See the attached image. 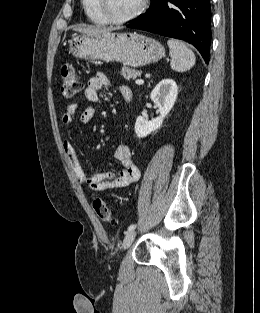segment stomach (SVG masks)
Listing matches in <instances>:
<instances>
[{"mask_svg":"<svg viewBox=\"0 0 260 313\" xmlns=\"http://www.w3.org/2000/svg\"><path fill=\"white\" fill-rule=\"evenodd\" d=\"M69 53L76 58L120 62L137 68L159 61L165 55V49L157 40L136 32L110 31L74 37L69 44Z\"/></svg>","mask_w":260,"mask_h":313,"instance_id":"0dacf381","label":"stomach"}]
</instances>
